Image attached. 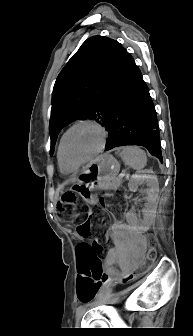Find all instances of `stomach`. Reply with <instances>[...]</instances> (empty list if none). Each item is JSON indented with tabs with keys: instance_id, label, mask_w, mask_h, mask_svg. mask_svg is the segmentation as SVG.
Returning a JSON list of instances; mask_svg holds the SVG:
<instances>
[{
	"instance_id": "1",
	"label": "stomach",
	"mask_w": 193,
	"mask_h": 336,
	"mask_svg": "<svg viewBox=\"0 0 193 336\" xmlns=\"http://www.w3.org/2000/svg\"><path fill=\"white\" fill-rule=\"evenodd\" d=\"M120 170L117 160L104 154L91 162L77 177L71 189L77 192L90 205L97 201V190L110 189L109 184Z\"/></svg>"
}]
</instances>
